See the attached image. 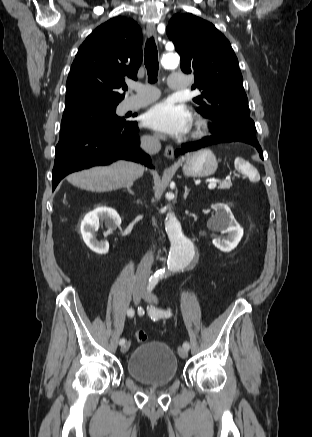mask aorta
Here are the masks:
<instances>
[{
  "mask_svg": "<svg viewBox=\"0 0 312 437\" xmlns=\"http://www.w3.org/2000/svg\"><path fill=\"white\" fill-rule=\"evenodd\" d=\"M179 61L177 54L168 53L163 55L161 63L164 68H174L178 66ZM165 230L171 243L166 271H178L193 259L195 249L191 241L184 236L181 224L173 212H169L166 217Z\"/></svg>",
  "mask_w": 312,
  "mask_h": 437,
  "instance_id": "aorta-1",
  "label": "aorta"
}]
</instances>
